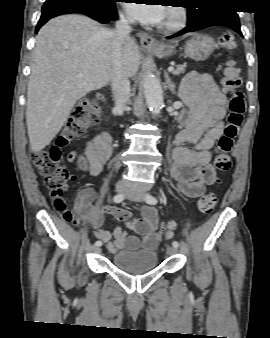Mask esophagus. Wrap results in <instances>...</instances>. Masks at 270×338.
Wrapping results in <instances>:
<instances>
[{
	"instance_id": "esophagus-1",
	"label": "esophagus",
	"mask_w": 270,
	"mask_h": 338,
	"mask_svg": "<svg viewBox=\"0 0 270 338\" xmlns=\"http://www.w3.org/2000/svg\"><path fill=\"white\" fill-rule=\"evenodd\" d=\"M138 37L144 47H155L159 45L158 41L147 33L140 32L138 33Z\"/></svg>"
}]
</instances>
